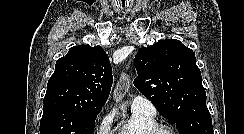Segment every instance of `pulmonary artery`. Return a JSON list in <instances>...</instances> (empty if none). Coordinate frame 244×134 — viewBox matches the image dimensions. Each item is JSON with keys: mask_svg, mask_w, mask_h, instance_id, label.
I'll return each mask as SVG.
<instances>
[{"mask_svg": "<svg viewBox=\"0 0 244 134\" xmlns=\"http://www.w3.org/2000/svg\"><path fill=\"white\" fill-rule=\"evenodd\" d=\"M131 110L142 112L148 115H155L156 109L154 105L143 96H135L131 101Z\"/></svg>", "mask_w": 244, "mask_h": 134, "instance_id": "pulmonary-artery-1", "label": "pulmonary artery"}]
</instances>
